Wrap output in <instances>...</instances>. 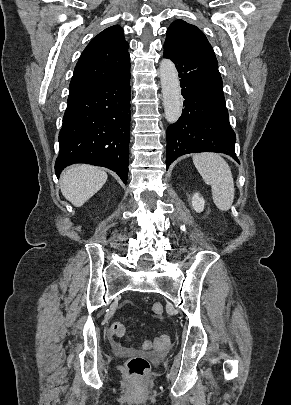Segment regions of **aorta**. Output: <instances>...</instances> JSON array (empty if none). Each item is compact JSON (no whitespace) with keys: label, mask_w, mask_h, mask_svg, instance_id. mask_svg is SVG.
<instances>
[{"label":"aorta","mask_w":291,"mask_h":405,"mask_svg":"<svg viewBox=\"0 0 291 405\" xmlns=\"http://www.w3.org/2000/svg\"><path fill=\"white\" fill-rule=\"evenodd\" d=\"M160 81L165 118L172 124L181 116L183 98L181 95L178 72L170 59H163L160 63Z\"/></svg>","instance_id":"obj_1"}]
</instances>
